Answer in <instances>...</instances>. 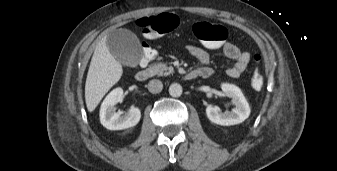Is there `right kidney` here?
Instances as JSON below:
<instances>
[{
  "label": "right kidney",
  "instance_id": "1",
  "mask_svg": "<svg viewBox=\"0 0 337 171\" xmlns=\"http://www.w3.org/2000/svg\"><path fill=\"white\" fill-rule=\"evenodd\" d=\"M124 98L122 88L112 90L104 99L100 109V122L109 130H122L134 127L140 121L141 112L137 107H132L125 115L115 112V105Z\"/></svg>",
  "mask_w": 337,
  "mask_h": 171
}]
</instances>
